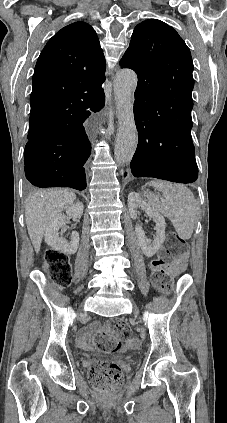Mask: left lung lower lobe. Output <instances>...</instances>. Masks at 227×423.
I'll return each mask as SVG.
<instances>
[{"label": "left lung lower lobe", "mask_w": 227, "mask_h": 423, "mask_svg": "<svg viewBox=\"0 0 227 423\" xmlns=\"http://www.w3.org/2000/svg\"><path fill=\"white\" fill-rule=\"evenodd\" d=\"M134 117L139 143L130 164L132 174L179 183L194 182L198 168L191 138V112L134 107Z\"/></svg>", "instance_id": "1"}]
</instances>
